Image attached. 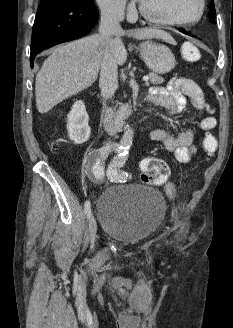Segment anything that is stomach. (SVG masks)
<instances>
[{
  "instance_id": "0dacf381",
  "label": "stomach",
  "mask_w": 233,
  "mask_h": 328,
  "mask_svg": "<svg viewBox=\"0 0 233 328\" xmlns=\"http://www.w3.org/2000/svg\"><path fill=\"white\" fill-rule=\"evenodd\" d=\"M139 49L145 63L153 72L165 74L175 67L174 54L166 45L147 40L140 43Z\"/></svg>"
}]
</instances>
